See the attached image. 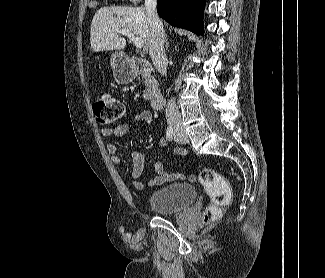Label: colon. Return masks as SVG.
I'll list each match as a JSON object with an SVG mask.
<instances>
[{"label":"colon","mask_w":325,"mask_h":278,"mask_svg":"<svg viewBox=\"0 0 325 278\" xmlns=\"http://www.w3.org/2000/svg\"><path fill=\"white\" fill-rule=\"evenodd\" d=\"M93 110L99 122L109 125L119 122L125 114V106L110 93L103 92L96 98ZM194 180V177H190ZM199 182L211 197V205L206 209L202 223L208 224L218 220L222 208L231 199V187L228 181L211 168H204L199 175Z\"/></svg>","instance_id":"obj_1"}]
</instances>
